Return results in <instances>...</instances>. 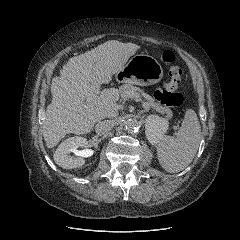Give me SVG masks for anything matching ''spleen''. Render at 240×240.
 I'll return each mask as SVG.
<instances>
[{
  "mask_svg": "<svg viewBox=\"0 0 240 240\" xmlns=\"http://www.w3.org/2000/svg\"><path fill=\"white\" fill-rule=\"evenodd\" d=\"M201 140V126L194 110L185 113L176 137L164 136L157 145L161 166L169 173L180 172L194 159Z\"/></svg>",
  "mask_w": 240,
  "mask_h": 240,
  "instance_id": "1",
  "label": "spleen"
}]
</instances>
